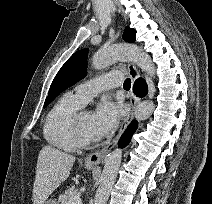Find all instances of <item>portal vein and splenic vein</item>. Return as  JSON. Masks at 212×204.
I'll return each mask as SVG.
<instances>
[{
	"mask_svg": "<svg viewBox=\"0 0 212 204\" xmlns=\"http://www.w3.org/2000/svg\"><path fill=\"white\" fill-rule=\"evenodd\" d=\"M68 204H82L80 196H74L69 199Z\"/></svg>",
	"mask_w": 212,
	"mask_h": 204,
	"instance_id": "portal-vein-and-splenic-vein-1",
	"label": "portal vein and splenic vein"
}]
</instances>
